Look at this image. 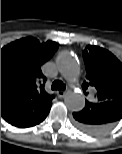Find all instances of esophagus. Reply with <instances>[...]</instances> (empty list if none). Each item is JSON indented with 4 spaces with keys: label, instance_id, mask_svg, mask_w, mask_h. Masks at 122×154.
<instances>
[{
    "label": "esophagus",
    "instance_id": "1",
    "mask_svg": "<svg viewBox=\"0 0 122 154\" xmlns=\"http://www.w3.org/2000/svg\"><path fill=\"white\" fill-rule=\"evenodd\" d=\"M65 95H66V92L65 91H62V90L57 91V96L59 98H63Z\"/></svg>",
    "mask_w": 122,
    "mask_h": 154
}]
</instances>
